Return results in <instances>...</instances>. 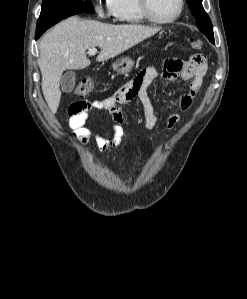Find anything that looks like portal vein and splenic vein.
Wrapping results in <instances>:
<instances>
[{"mask_svg":"<svg viewBox=\"0 0 247 299\" xmlns=\"http://www.w3.org/2000/svg\"><path fill=\"white\" fill-rule=\"evenodd\" d=\"M88 53H89L90 55H94V54L97 53V49H96L95 47H94V48H90L89 51H88Z\"/></svg>","mask_w":247,"mask_h":299,"instance_id":"1","label":"portal vein and splenic vein"}]
</instances>
